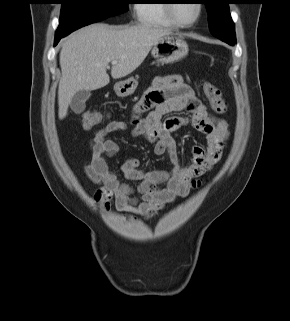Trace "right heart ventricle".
Instances as JSON below:
<instances>
[{
  "mask_svg": "<svg viewBox=\"0 0 290 321\" xmlns=\"http://www.w3.org/2000/svg\"><path fill=\"white\" fill-rule=\"evenodd\" d=\"M166 2L167 0H140L135 5L137 22L150 26H175L167 14Z\"/></svg>",
  "mask_w": 290,
  "mask_h": 321,
  "instance_id": "obj_1",
  "label": "right heart ventricle"
}]
</instances>
